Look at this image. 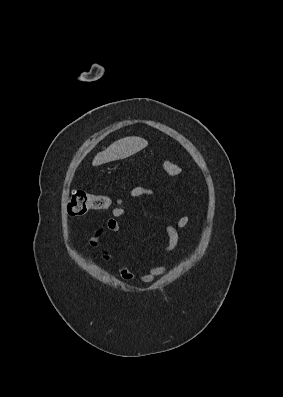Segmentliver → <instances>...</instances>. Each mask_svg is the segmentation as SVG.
Here are the masks:
<instances>
[{
	"label": "liver",
	"instance_id": "6515ba94",
	"mask_svg": "<svg viewBox=\"0 0 283 397\" xmlns=\"http://www.w3.org/2000/svg\"><path fill=\"white\" fill-rule=\"evenodd\" d=\"M148 145L141 137H125L112 143L107 149L99 152L93 159L92 165L99 166L104 163L127 158Z\"/></svg>",
	"mask_w": 283,
	"mask_h": 397
}]
</instances>
